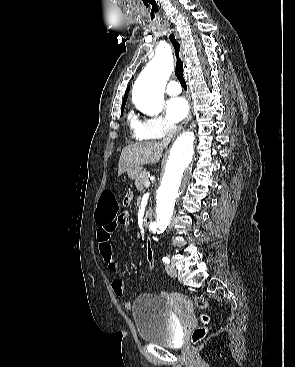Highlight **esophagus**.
Wrapping results in <instances>:
<instances>
[{"label":"esophagus","instance_id":"34e87169","mask_svg":"<svg viewBox=\"0 0 295 367\" xmlns=\"http://www.w3.org/2000/svg\"><path fill=\"white\" fill-rule=\"evenodd\" d=\"M174 35L177 39V41L179 42L180 46H181V40H180V37L178 35V33L176 31H174ZM183 56V50H182V46H181V57ZM192 118V109L190 110L188 116L186 117V119L184 120L183 124L179 127L178 130H181L183 126L187 125L188 122L191 120Z\"/></svg>","mask_w":295,"mask_h":367}]
</instances>
